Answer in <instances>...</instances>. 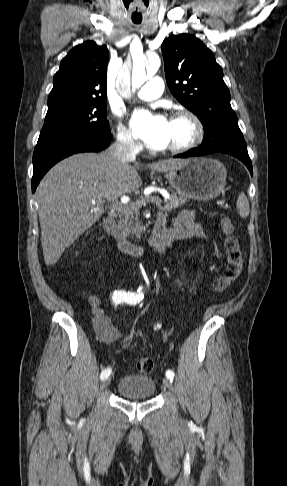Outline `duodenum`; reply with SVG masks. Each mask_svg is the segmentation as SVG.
I'll use <instances>...</instances> for the list:
<instances>
[{
	"label": "duodenum",
	"instance_id": "duodenum-1",
	"mask_svg": "<svg viewBox=\"0 0 287 486\" xmlns=\"http://www.w3.org/2000/svg\"><path fill=\"white\" fill-rule=\"evenodd\" d=\"M166 218L163 214H158L153 226L152 233L149 238V245L158 249L165 237ZM105 231L116 240L118 248L127 254L133 256H141L144 253V248L128 240L125 235L117 228L115 220L112 216L105 218L103 222Z\"/></svg>",
	"mask_w": 287,
	"mask_h": 486
}]
</instances>
